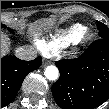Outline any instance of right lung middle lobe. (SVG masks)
<instances>
[{"instance_id": "dd1d6c3e", "label": "right lung middle lobe", "mask_w": 109, "mask_h": 109, "mask_svg": "<svg viewBox=\"0 0 109 109\" xmlns=\"http://www.w3.org/2000/svg\"><path fill=\"white\" fill-rule=\"evenodd\" d=\"M1 28H6V26L3 25V24H1ZM7 29H8V31H10L11 33H14V31H13L12 29H10V28H7Z\"/></svg>"}]
</instances>
